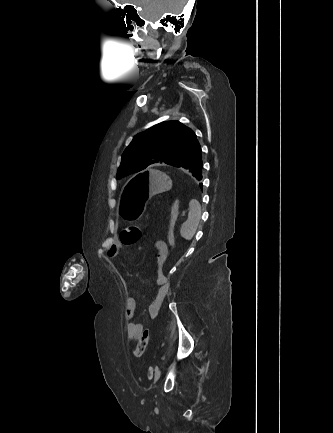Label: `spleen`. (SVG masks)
Returning a JSON list of instances; mask_svg holds the SVG:
<instances>
[{"instance_id": "1", "label": "spleen", "mask_w": 333, "mask_h": 433, "mask_svg": "<svg viewBox=\"0 0 333 433\" xmlns=\"http://www.w3.org/2000/svg\"><path fill=\"white\" fill-rule=\"evenodd\" d=\"M189 205L190 212L188 219L182 224L180 229L181 236L186 240H191L193 238L201 218L200 204L197 201H191Z\"/></svg>"}]
</instances>
